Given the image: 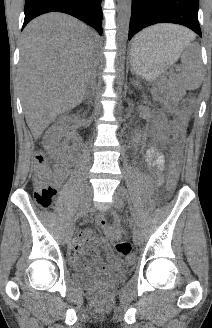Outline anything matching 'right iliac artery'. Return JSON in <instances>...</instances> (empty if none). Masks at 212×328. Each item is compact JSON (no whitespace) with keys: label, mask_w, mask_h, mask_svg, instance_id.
<instances>
[{"label":"right iliac artery","mask_w":212,"mask_h":328,"mask_svg":"<svg viewBox=\"0 0 212 328\" xmlns=\"http://www.w3.org/2000/svg\"><path fill=\"white\" fill-rule=\"evenodd\" d=\"M82 215V212H78L74 218V222Z\"/></svg>","instance_id":"1"}]
</instances>
